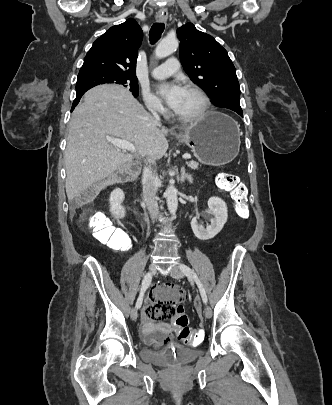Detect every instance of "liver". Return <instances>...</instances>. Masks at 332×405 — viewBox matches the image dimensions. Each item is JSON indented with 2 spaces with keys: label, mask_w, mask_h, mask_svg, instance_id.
<instances>
[{
  "label": "liver",
  "mask_w": 332,
  "mask_h": 405,
  "mask_svg": "<svg viewBox=\"0 0 332 405\" xmlns=\"http://www.w3.org/2000/svg\"><path fill=\"white\" fill-rule=\"evenodd\" d=\"M168 132L123 87L101 85L87 91L69 123L64 155L68 199L73 200L135 157L161 159L168 149ZM108 136L131 142L135 152H120Z\"/></svg>",
  "instance_id": "obj_1"
}]
</instances>
